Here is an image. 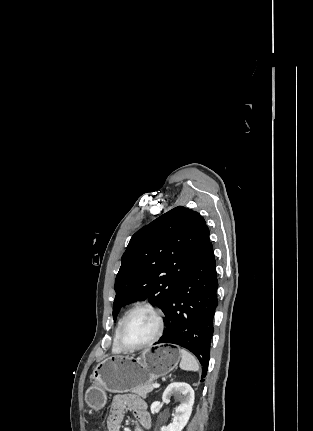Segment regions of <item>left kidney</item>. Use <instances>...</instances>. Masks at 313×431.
Instances as JSON below:
<instances>
[{
	"mask_svg": "<svg viewBox=\"0 0 313 431\" xmlns=\"http://www.w3.org/2000/svg\"><path fill=\"white\" fill-rule=\"evenodd\" d=\"M172 395H176L181 400V404L175 409L172 423L167 427H161L160 431H182L191 416L194 404L192 387L185 382L171 383L163 393V401L169 403Z\"/></svg>",
	"mask_w": 313,
	"mask_h": 431,
	"instance_id": "obj_1",
	"label": "left kidney"
}]
</instances>
